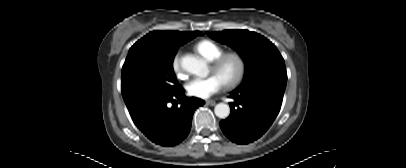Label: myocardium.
I'll return each instance as SVG.
<instances>
[{"label":"myocardium","mask_w":406,"mask_h":168,"mask_svg":"<svg viewBox=\"0 0 406 168\" xmlns=\"http://www.w3.org/2000/svg\"><path fill=\"white\" fill-rule=\"evenodd\" d=\"M228 60H234L236 62L237 70L235 76L231 80L224 82V85L227 88H234L242 82L246 73V60L240 52L229 51L222 53L211 62V70L213 72L219 71Z\"/></svg>","instance_id":"1"}]
</instances>
